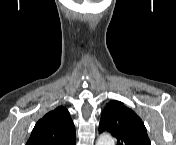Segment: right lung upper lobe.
Masks as SVG:
<instances>
[{
    "label": "right lung upper lobe",
    "mask_w": 176,
    "mask_h": 145,
    "mask_svg": "<svg viewBox=\"0 0 176 145\" xmlns=\"http://www.w3.org/2000/svg\"><path fill=\"white\" fill-rule=\"evenodd\" d=\"M75 141L73 121L67 109L60 106L37 122L27 145H75Z\"/></svg>",
    "instance_id": "1"
}]
</instances>
